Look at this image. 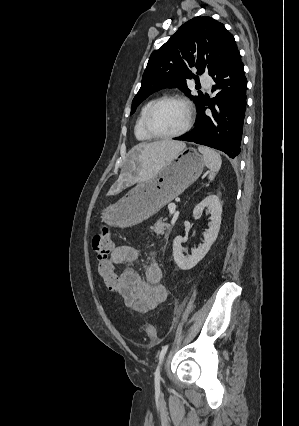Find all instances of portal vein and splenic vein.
I'll return each instance as SVG.
<instances>
[{
    "mask_svg": "<svg viewBox=\"0 0 299 426\" xmlns=\"http://www.w3.org/2000/svg\"><path fill=\"white\" fill-rule=\"evenodd\" d=\"M168 208H169V213H170V215H173V214L175 213V210H176V205H175V203H170V204L168 205Z\"/></svg>",
    "mask_w": 299,
    "mask_h": 426,
    "instance_id": "portal-vein-and-splenic-vein-1",
    "label": "portal vein and splenic vein"
}]
</instances>
